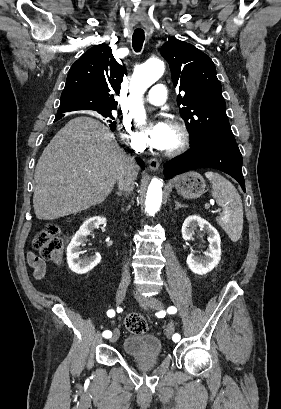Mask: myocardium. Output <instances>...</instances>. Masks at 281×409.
Wrapping results in <instances>:
<instances>
[{
	"instance_id": "obj_1",
	"label": "myocardium",
	"mask_w": 281,
	"mask_h": 409,
	"mask_svg": "<svg viewBox=\"0 0 281 409\" xmlns=\"http://www.w3.org/2000/svg\"><path fill=\"white\" fill-rule=\"evenodd\" d=\"M169 128L179 135V141L171 149L162 150V154L166 157H175L182 154L189 147L191 134L184 124L177 121L170 122Z\"/></svg>"
}]
</instances>
